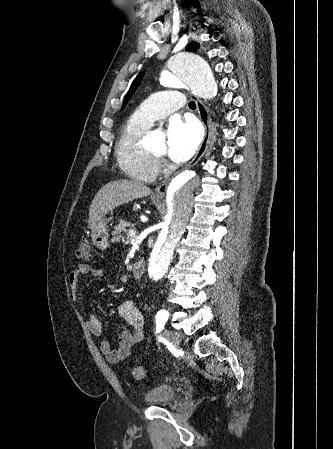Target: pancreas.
<instances>
[{"mask_svg": "<svg viewBox=\"0 0 333 449\" xmlns=\"http://www.w3.org/2000/svg\"><path fill=\"white\" fill-rule=\"evenodd\" d=\"M131 227H133V225H132L130 222L121 220V221L119 222V224H118L117 226H115V230H114L113 233H112V235H113V237H112V242H113V243H115V242H120V240L124 238V237H123V234H124V233H127V238H126V240H127L128 242H130L131 240H133L134 238H131V237L128 235V231H129V229H130ZM123 241H124V239H123Z\"/></svg>", "mask_w": 333, "mask_h": 449, "instance_id": "cf45deb5", "label": "pancreas"}]
</instances>
